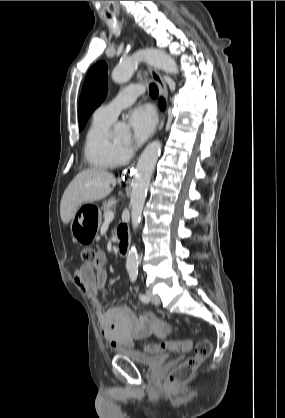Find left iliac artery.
<instances>
[{
	"label": "left iliac artery",
	"mask_w": 285,
	"mask_h": 418,
	"mask_svg": "<svg viewBox=\"0 0 285 418\" xmlns=\"http://www.w3.org/2000/svg\"><path fill=\"white\" fill-rule=\"evenodd\" d=\"M129 275H130L131 281L132 282H135L136 279H137V277H138V270L137 269H131V270H129ZM139 299L142 302H144V303L149 302V298L146 295H144V294H140L139 295Z\"/></svg>",
	"instance_id": "obj_1"
}]
</instances>
